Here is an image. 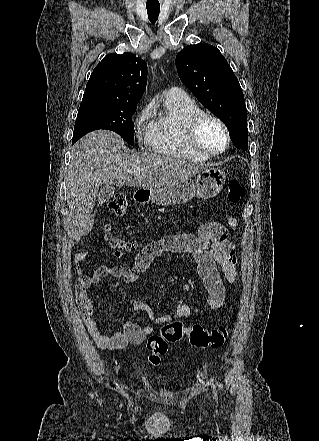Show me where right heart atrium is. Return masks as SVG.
<instances>
[{"label": "right heart atrium", "mask_w": 319, "mask_h": 441, "mask_svg": "<svg viewBox=\"0 0 319 441\" xmlns=\"http://www.w3.org/2000/svg\"><path fill=\"white\" fill-rule=\"evenodd\" d=\"M154 106L152 103H147L136 114L133 121V130L138 145L142 149L150 147L153 135L154 120H153Z\"/></svg>", "instance_id": "1"}]
</instances>
